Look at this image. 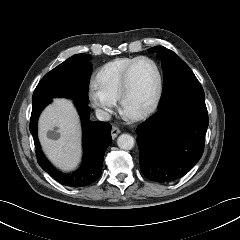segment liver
Segmentation results:
<instances>
[{"instance_id": "1", "label": "liver", "mask_w": 240, "mask_h": 240, "mask_svg": "<svg viewBox=\"0 0 240 240\" xmlns=\"http://www.w3.org/2000/svg\"><path fill=\"white\" fill-rule=\"evenodd\" d=\"M58 128L59 138L52 139L48 132ZM39 138L47 157L60 169L75 168L81 157L79 118L70 100L57 98L41 114Z\"/></svg>"}]
</instances>
